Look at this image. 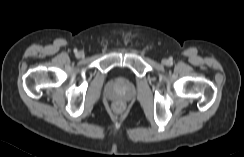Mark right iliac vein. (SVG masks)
Returning a JSON list of instances; mask_svg holds the SVG:
<instances>
[{
	"label": "right iliac vein",
	"mask_w": 244,
	"mask_h": 157,
	"mask_svg": "<svg viewBox=\"0 0 244 157\" xmlns=\"http://www.w3.org/2000/svg\"><path fill=\"white\" fill-rule=\"evenodd\" d=\"M76 56H77L78 58H80V57L82 56V53H81V52H78V53L76 54Z\"/></svg>",
	"instance_id": "63e3f726"
}]
</instances>
